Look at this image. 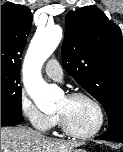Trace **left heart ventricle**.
<instances>
[{
	"label": "left heart ventricle",
	"mask_w": 123,
	"mask_h": 152,
	"mask_svg": "<svg viewBox=\"0 0 123 152\" xmlns=\"http://www.w3.org/2000/svg\"><path fill=\"white\" fill-rule=\"evenodd\" d=\"M57 112L64 115L71 128L77 132H89L99 121L95 106L83 98L69 100L64 97L59 103Z\"/></svg>",
	"instance_id": "1"
}]
</instances>
